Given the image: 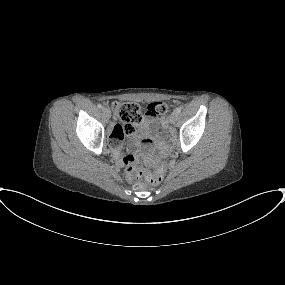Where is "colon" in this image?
I'll return each mask as SVG.
<instances>
[{"label": "colon", "instance_id": "colon-1", "mask_svg": "<svg viewBox=\"0 0 285 285\" xmlns=\"http://www.w3.org/2000/svg\"><path fill=\"white\" fill-rule=\"evenodd\" d=\"M113 109L118 120V126L125 133H132L135 127L142 124L148 116L164 120L167 113V107L162 102L150 103L146 110H142L141 106L136 102H117L113 104ZM134 161L135 158L132 155H126L123 158V163L131 171L132 177L143 179L153 185L162 182L167 170L165 163H161L150 170L136 171ZM134 187H141V182L136 181Z\"/></svg>", "mask_w": 285, "mask_h": 285}]
</instances>
